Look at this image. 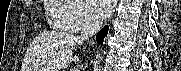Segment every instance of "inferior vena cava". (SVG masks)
Segmentation results:
<instances>
[{"instance_id":"1","label":"inferior vena cava","mask_w":181,"mask_h":71,"mask_svg":"<svg viewBox=\"0 0 181 71\" xmlns=\"http://www.w3.org/2000/svg\"><path fill=\"white\" fill-rule=\"evenodd\" d=\"M102 27V23L92 17H89L85 20L82 29L81 35L78 37V41L81 43L86 39L94 36Z\"/></svg>"}]
</instances>
